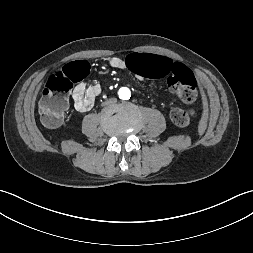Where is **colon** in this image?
Returning a JSON list of instances; mask_svg holds the SVG:
<instances>
[{"label":"colon","mask_w":253,"mask_h":253,"mask_svg":"<svg viewBox=\"0 0 253 253\" xmlns=\"http://www.w3.org/2000/svg\"><path fill=\"white\" fill-rule=\"evenodd\" d=\"M128 70L138 77L166 78L172 91L184 102H194L197 97V82L193 73L167 55L156 52H133L126 61ZM89 72L86 62H74L52 75L42 93L39 113L47 127L58 126L68 108V96L75 83L83 80ZM194 116L191 109L175 108L172 121L180 127L188 126Z\"/></svg>","instance_id":"5ec220e1"}]
</instances>
